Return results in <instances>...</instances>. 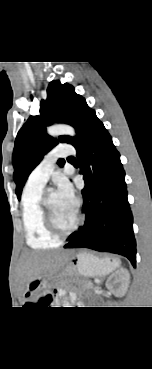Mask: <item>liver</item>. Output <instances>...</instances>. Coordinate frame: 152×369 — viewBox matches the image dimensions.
Returning a JSON list of instances; mask_svg holds the SVG:
<instances>
[{"mask_svg":"<svg viewBox=\"0 0 152 369\" xmlns=\"http://www.w3.org/2000/svg\"><path fill=\"white\" fill-rule=\"evenodd\" d=\"M63 259L62 252H24L20 258V273L23 284L27 285L33 279L44 277L45 274L62 263Z\"/></svg>","mask_w":152,"mask_h":369,"instance_id":"obj_1","label":"liver"}]
</instances>
